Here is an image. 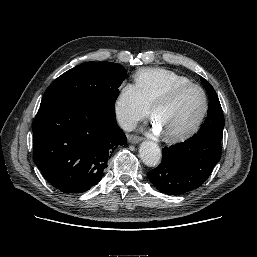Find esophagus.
<instances>
[{
    "label": "esophagus",
    "mask_w": 257,
    "mask_h": 257,
    "mask_svg": "<svg viewBox=\"0 0 257 257\" xmlns=\"http://www.w3.org/2000/svg\"><path fill=\"white\" fill-rule=\"evenodd\" d=\"M127 140L129 143L135 144L141 140V137L137 135H127Z\"/></svg>",
    "instance_id": "esophagus-1"
}]
</instances>
